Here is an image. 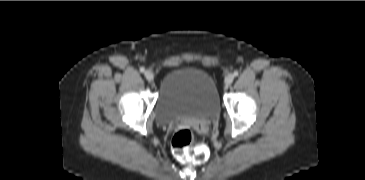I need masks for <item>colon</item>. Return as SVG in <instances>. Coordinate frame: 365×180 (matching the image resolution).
Returning <instances> with one entry per match:
<instances>
[{"instance_id":"colon-1","label":"colon","mask_w":365,"mask_h":180,"mask_svg":"<svg viewBox=\"0 0 365 180\" xmlns=\"http://www.w3.org/2000/svg\"><path fill=\"white\" fill-rule=\"evenodd\" d=\"M194 133L189 128L177 131L171 141V147L177 159L188 165L204 163L209 158L210 152L205 145H194Z\"/></svg>"}]
</instances>
